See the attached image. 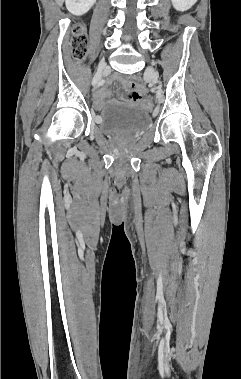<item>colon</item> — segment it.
I'll list each match as a JSON object with an SVG mask.
<instances>
[{"mask_svg": "<svg viewBox=\"0 0 241 379\" xmlns=\"http://www.w3.org/2000/svg\"><path fill=\"white\" fill-rule=\"evenodd\" d=\"M72 34H73V41H72V51L75 58H79L82 56V54L86 51V45H87V38L84 33V28L81 25H75L72 28ZM172 40V39H171ZM175 42H171V44H164L163 47H161V62H166V57L172 56L173 52H175L176 42H180V37H175ZM141 108L142 109H151V98H142L141 101Z\"/></svg>", "mask_w": 241, "mask_h": 379, "instance_id": "5ec220e1", "label": "colon"}]
</instances>
